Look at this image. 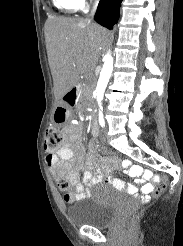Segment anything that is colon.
Segmentation results:
<instances>
[{"instance_id":"5ec220e1","label":"colon","mask_w":183,"mask_h":246,"mask_svg":"<svg viewBox=\"0 0 183 246\" xmlns=\"http://www.w3.org/2000/svg\"><path fill=\"white\" fill-rule=\"evenodd\" d=\"M66 109L63 107H58L55 112V120L57 123L64 122L66 120ZM64 140L63 132L56 126H50L46 130V138H45V148L48 152H55L59 149L62 142ZM109 149H103V154H109ZM111 157L115 156L114 152L110 153ZM136 167V166H135ZM157 187L154 192L155 196H159L166 188L167 179L165 177H161V182H156ZM58 186L60 190L64 193V198L67 202L73 201V196L71 194V186L72 183L69 179L64 177L62 173L59 174ZM135 215H132L129 219L132 220Z\"/></svg>"}]
</instances>
